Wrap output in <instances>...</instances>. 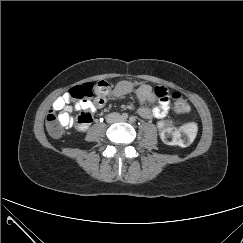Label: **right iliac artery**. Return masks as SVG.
Masks as SVG:
<instances>
[{
    "label": "right iliac artery",
    "instance_id": "82829eb1",
    "mask_svg": "<svg viewBox=\"0 0 243 243\" xmlns=\"http://www.w3.org/2000/svg\"><path fill=\"white\" fill-rule=\"evenodd\" d=\"M121 117L123 118V119H127L128 118V114L127 113H123L122 115H121Z\"/></svg>",
    "mask_w": 243,
    "mask_h": 243
}]
</instances>
